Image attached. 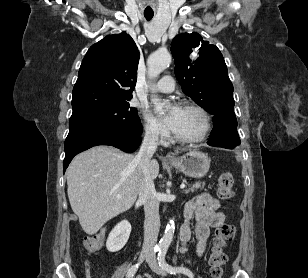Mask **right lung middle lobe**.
Segmentation results:
<instances>
[{"label":"right lung middle lobe","instance_id":"obj_1","mask_svg":"<svg viewBox=\"0 0 308 278\" xmlns=\"http://www.w3.org/2000/svg\"><path fill=\"white\" fill-rule=\"evenodd\" d=\"M99 128L143 131L137 109L128 102L73 115L69 120V131Z\"/></svg>","mask_w":308,"mask_h":278}]
</instances>
